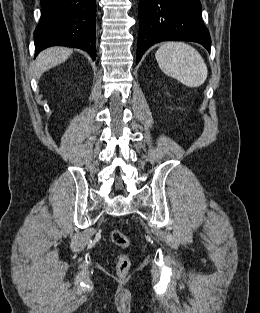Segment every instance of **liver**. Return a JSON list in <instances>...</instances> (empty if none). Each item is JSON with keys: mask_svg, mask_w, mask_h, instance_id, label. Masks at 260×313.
I'll return each instance as SVG.
<instances>
[{"mask_svg": "<svg viewBox=\"0 0 260 313\" xmlns=\"http://www.w3.org/2000/svg\"><path fill=\"white\" fill-rule=\"evenodd\" d=\"M72 52L65 47H51L40 52L33 63L34 77L40 78L45 71L65 62Z\"/></svg>", "mask_w": 260, "mask_h": 313, "instance_id": "liver-1", "label": "liver"}]
</instances>
